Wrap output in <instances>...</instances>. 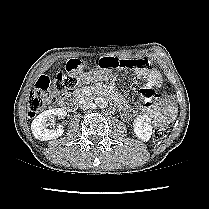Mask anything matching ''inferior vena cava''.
Here are the masks:
<instances>
[{
  "mask_svg": "<svg viewBox=\"0 0 209 209\" xmlns=\"http://www.w3.org/2000/svg\"><path fill=\"white\" fill-rule=\"evenodd\" d=\"M79 106L83 110H88L94 107V103L91 97L83 96L79 99Z\"/></svg>",
  "mask_w": 209,
  "mask_h": 209,
  "instance_id": "1",
  "label": "inferior vena cava"
}]
</instances>
